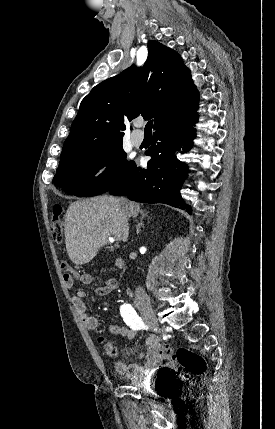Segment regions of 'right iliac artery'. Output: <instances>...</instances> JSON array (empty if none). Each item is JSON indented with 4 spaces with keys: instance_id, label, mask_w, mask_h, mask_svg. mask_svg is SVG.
<instances>
[{
    "instance_id": "82829eb1",
    "label": "right iliac artery",
    "mask_w": 275,
    "mask_h": 429,
    "mask_svg": "<svg viewBox=\"0 0 275 429\" xmlns=\"http://www.w3.org/2000/svg\"><path fill=\"white\" fill-rule=\"evenodd\" d=\"M121 316L125 323L133 330H140L144 327L141 317H139L130 304H123L120 308Z\"/></svg>"
}]
</instances>
